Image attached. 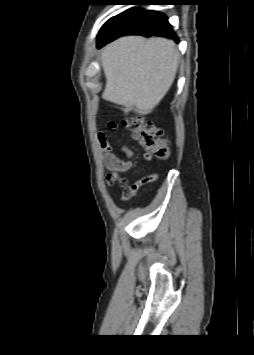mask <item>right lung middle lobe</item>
Returning a JSON list of instances; mask_svg holds the SVG:
<instances>
[{"label": "right lung middle lobe", "mask_w": 254, "mask_h": 355, "mask_svg": "<svg viewBox=\"0 0 254 355\" xmlns=\"http://www.w3.org/2000/svg\"><path fill=\"white\" fill-rule=\"evenodd\" d=\"M105 24H106V23H105ZM105 24H104V25H103V27L101 28L100 33H101V31L103 30V28H104ZM100 33H99V34H100Z\"/></svg>", "instance_id": "right-lung-middle-lobe-1"}]
</instances>
